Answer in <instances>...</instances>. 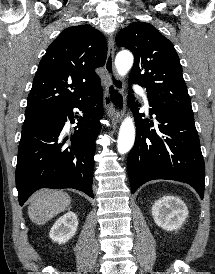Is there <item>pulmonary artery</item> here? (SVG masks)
Here are the masks:
<instances>
[{"mask_svg":"<svg viewBox=\"0 0 215 274\" xmlns=\"http://www.w3.org/2000/svg\"><path fill=\"white\" fill-rule=\"evenodd\" d=\"M135 89H136L138 92H140V93L142 94L143 100H144V102H145V105H146L147 107H149L148 98H147L145 92H144L140 87H136Z\"/></svg>","mask_w":215,"mask_h":274,"instance_id":"e3ab8cb5","label":"pulmonary artery"}]
</instances>
